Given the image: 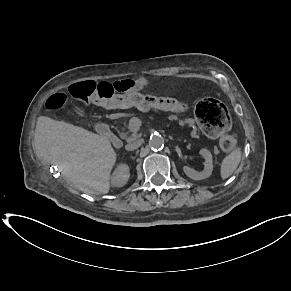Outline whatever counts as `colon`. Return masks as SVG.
I'll return each mask as SVG.
<instances>
[{"label":"colon","instance_id":"1","mask_svg":"<svg viewBox=\"0 0 291 291\" xmlns=\"http://www.w3.org/2000/svg\"><path fill=\"white\" fill-rule=\"evenodd\" d=\"M128 80L116 82L86 81L70 86L67 93L60 92L50 96L45 108L49 111L63 108L70 98L85 104H96L108 107L134 106L142 112H173L174 116L183 117L188 109H192V102L179 101L178 97H171L170 93L131 92ZM194 115L202 131L212 137H220V146L224 151H231L236 146V138L228 134L230 115L225 105L215 98H202L194 108Z\"/></svg>","mask_w":291,"mask_h":291}]
</instances>
